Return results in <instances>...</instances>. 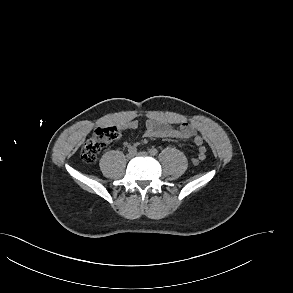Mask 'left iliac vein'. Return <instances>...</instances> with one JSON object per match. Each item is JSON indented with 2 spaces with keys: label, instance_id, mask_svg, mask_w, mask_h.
I'll use <instances>...</instances> for the list:
<instances>
[{
  "label": "left iliac vein",
  "instance_id": "1",
  "mask_svg": "<svg viewBox=\"0 0 293 293\" xmlns=\"http://www.w3.org/2000/svg\"><path fill=\"white\" fill-rule=\"evenodd\" d=\"M137 155H139V156H146L147 153L146 152H139V153H137Z\"/></svg>",
  "mask_w": 293,
  "mask_h": 293
}]
</instances>
